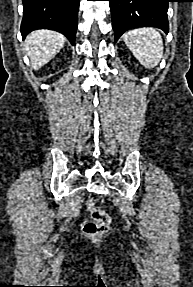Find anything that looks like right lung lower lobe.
I'll use <instances>...</instances> for the list:
<instances>
[{"instance_id": "right-lung-lower-lobe-1", "label": "right lung lower lobe", "mask_w": 193, "mask_h": 287, "mask_svg": "<svg viewBox=\"0 0 193 287\" xmlns=\"http://www.w3.org/2000/svg\"><path fill=\"white\" fill-rule=\"evenodd\" d=\"M79 0H23L21 34L50 29L64 34L75 43Z\"/></svg>"}]
</instances>
